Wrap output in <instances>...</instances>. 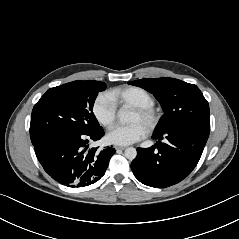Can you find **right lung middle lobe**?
Returning a JSON list of instances; mask_svg holds the SVG:
<instances>
[{
    "label": "right lung middle lobe",
    "mask_w": 239,
    "mask_h": 239,
    "mask_svg": "<svg viewBox=\"0 0 239 239\" xmlns=\"http://www.w3.org/2000/svg\"><path fill=\"white\" fill-rule=\"evenodd\" d=\"M105 88L104 82L92 80L73 81L50 88L32 111V144L54 131L88 133L100 128L92 109L98 93Z\"/></svg>",
    "instance_id": "right-lung-middle-lobe-1"
}]
</instances>
